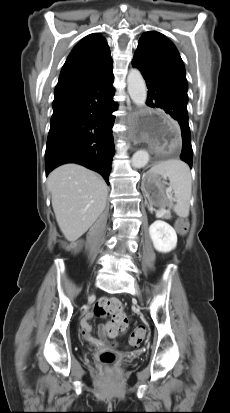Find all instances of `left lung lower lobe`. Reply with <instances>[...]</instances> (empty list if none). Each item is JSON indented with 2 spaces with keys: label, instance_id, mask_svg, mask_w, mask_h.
Segmentation results:
<instances>
[{
  "label": "left lung lower lobe",
  "instance_id": "1",
  "mask_svg": "<svg viewBox=\"0 0 230 413\" xmlns=\"http://www.w3.org/2000/svg\"><path fill=\"white\" fill-rule=\"evenodd\" d=\"M132 64L140 69L146 81L149 95L147 105L163 109L179 123L183 141L180 158L192 167L193 152L188 124L187 92L159 67L144 58L134 56Z\"/></svg>",
  "mask_w": 230,
  "mask_h": 413
}]
</instances>
